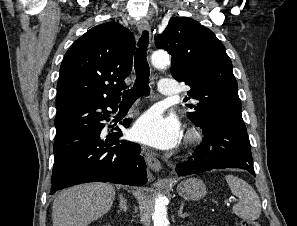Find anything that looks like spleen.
<instances>
[{"label": "spleen", "mask_w": 297, "mask_h": 226, "mask_svg": "<svg viewBox=\"0 0 297 226\" xmlns=\"http://www.w3.org/2000/svg\"><path fill=\"white\" fill-rule=\"evenodd\" d=\"M227 184L233 195L239 198L233 212L245 220H256L261 214V202L253 187L245 180L234 175H226Z\"/></svg>", "instance_id": "1"}]
</instances>
